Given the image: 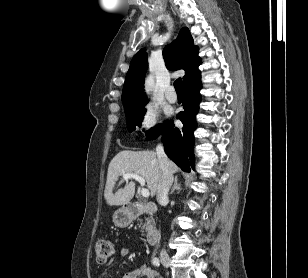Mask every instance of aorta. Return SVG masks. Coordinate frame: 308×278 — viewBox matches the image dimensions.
Wrapping results in <instances>:
<instances>
[{
  "label": "aorta",
  "mask_w": 308,
  "mask_h": 278,
  "mask_svg": "<svg viewBox=\"0 0 308 278\" xmlns=\"http://www.w3.org/2000/svg\"><path fill=\"white\" fill-rule=\"evenodd\" d=\"M152 85H153V78L151 76H149L146 79V83H145V91L147 93H149L151 91Z\"/></svg>",
  "instance_id": "1"
}]
</instances>
